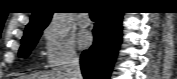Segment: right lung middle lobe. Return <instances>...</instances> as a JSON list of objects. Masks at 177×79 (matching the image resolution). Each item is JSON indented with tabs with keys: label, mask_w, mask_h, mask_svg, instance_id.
Returning a JSON list of instances; mask_svg holds the SVG:
<instances>
[{
	"label": "right lung middle lobe",
	"mask_w": 177,
	"mask_h": 79,
	"mask_svg": "<svg viewBox=\"0 0 177 79\" xmlns=\"http://www.w3.org/2000/svg\"><path fill=\"white\" fill-rule=\"evenodd\" d=\"M41 34H42V30L37 31V32L33 33L31 36H29L28 38L22 40V45L19 50L20 57L25 58L30 54L31 50L36 45Z\"/></svg>",
	"instance_id": "dd1d6c3e"
}]
</instances>
